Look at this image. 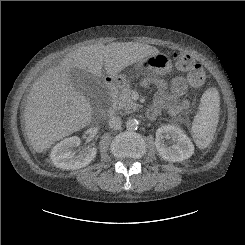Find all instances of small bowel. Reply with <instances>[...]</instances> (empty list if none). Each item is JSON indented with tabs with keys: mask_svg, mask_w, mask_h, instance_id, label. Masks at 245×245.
<instances>
[{
	"mask_svg": "<svg viewBox=\"0 0 245 245\" xmlns=\"http://www.w3.org/2000/svg\"><path fill=\"white\" fill-rule=\"evenodd\" d=\"M147 83L156 88L154 101L147 110L148 118H154L162 110L169 116H176L188 107L187 100L179 101L187 91V82L183 76L173 78L170 84L159 78H148Z\"/></svg>",
	"mask_w": 245,
	"mask_h": 245,
	"instance_id": "obj_1",
	"label": "small bowel"
}]
</instances>
